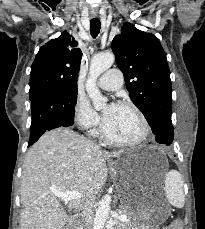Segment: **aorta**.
Here are the masks:
<instances>
[{
    "instance_id": "aorta-1",
    "label": "aorta",
    "mask_w": 205,
    "mask_h": 229,
    "mask_svg": "<svg viewBox=\"0 0 205 229\" xmlns=\"http://www.w3.org/2000/svg\"><path fill=\"white\" fill-rule=\"evenodd\" d=\"M115 57L112 53L106 52L95 55L90 64L88 79L86 82V91L92 100L95 109L99 110L104 107L107 98L104 97L97 87V78L114 63ZM111 196L105 195L98 204L94 218L93 229H103L110 211Z\"/></svg>"
}]
</instances>
